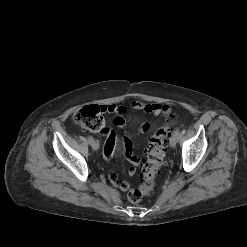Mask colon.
I'll use <instances>...</instances> for the list:
<instances>
[{
    "mask_svg": "<svg viewBox=\"0 0 247 247\" xmlns=\"http://www.w3.org/2000/svg\"><path fill=\"white\" fill-rule=\"evenodd\" d=\"M104 106L88 105L75 112L73 119L82 128L93 132H102L104 129ZM172 130V124L156 130L150 139L147 148V159L142 166L143 183L139 188L128 193L132 203H138L142 196L152 194L156 185L160 169L164 166L165 145Z\"/></svg>",
    "mask_w": 247,
    "mask_h": 247,
    "instance_id": "obj_1",
    "label": "colon"
}]
</instances>
